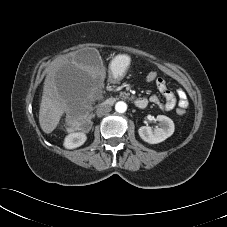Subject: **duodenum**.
Listing matches in <instances>:
<instances>
[{"label":"duodenum","instance_id":"duodenum-1","mask_svg":"<svg viewBox=\"0 0 227 227\" xmlns=\"http://www.w3.org/2000/svg\"><path fill=\"white\" fill-rule=\"evenodd\" d=\"M113 100H108L105 102V105H111ZM134 104L138 108H145L148 105V100L146 98H136Z\"/></svg>","mask_w":227,"mask_h":227}]
</instances>
